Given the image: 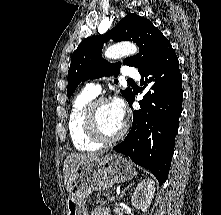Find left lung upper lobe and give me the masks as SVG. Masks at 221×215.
Segmentation results:
<instances>
[{"label": "left lung upper lobe", "instance_id": "left-lung-upper-lobe-1", "mask_svg": "<svg viewBox=\"0 0 221 215\" xmlns=\"http://www.w3.org/2000/svg\"><path fill=\"white\" fill-rule=\"evenodd\" d=\"M113 39L115 42L129 40L139 46L136 56L123 60L124 65L134 66L139 73L145 71L157 59L169 41L151 21L136 14H128L112 30L83 40L72 54L68 71L67 96L70 97L81 81L99 78L104 75H118L121 63L110 65L101 56L103 43ZM116 82V81H115ZM129 102L133 96L131 89L121 90Z\"/></svg>", "mask_w": 221, "mask_h": 215}]
</instances>
